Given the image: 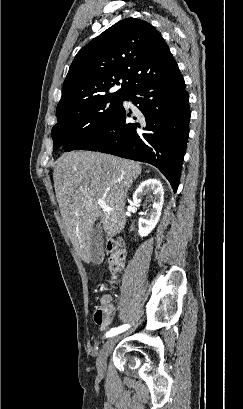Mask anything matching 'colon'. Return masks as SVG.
I'll use <instances>...</instances> for the list:
<instances>
[{
	"mask_svg": "<svg viewBox=\"0 0 243 409\" xmlns=\"http://www.w3.org/2000/svg\"><path fill=\"white\" fill-rule=\"evenodd\" d=\"M107 248L109 255L106 261V268L112 274L113 278H117L124 268L125 250L121 239H113L108 242ZM109 313V310L104 306H99L94 314V320L101 325Z\"/></svg>",
	"mask_w": 243,
	"mask_h": 409,
	"instance_id": "obj_1",
	"label": "colon"
}]
</instances>
